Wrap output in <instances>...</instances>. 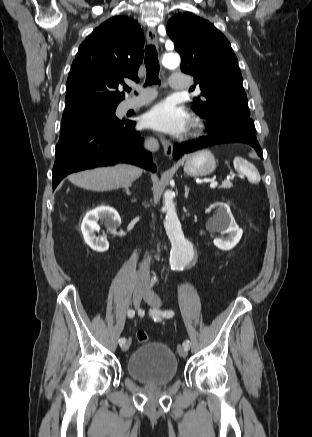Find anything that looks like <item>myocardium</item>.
<instances>
[{
	"mask_svg": "<svg viewBox=\"0 0 312 437\" xmlns=\"http://www.w3.org/2000/svg\"><path fill=\"white\" fill-rule=\"evenodd\" d=\"M197 126H198V128H201V127H202V124H201V123H198Z\"/></svg>",
	"mask_w": 312,
	"mask_h": 437,
	"instance_id": "1",
	"label": "myocardium"
}]
</instances>
